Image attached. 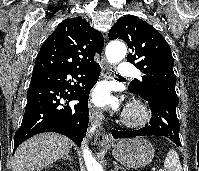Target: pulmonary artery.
Instances as JSON below:
<instances>
[{"mask_svg": "<svg viewBox=\"0 0 199 171\" xmlns=\"http://www.w3.org/2000/svg\"><path fill=\"white\" fill-rule=\"evenodd\" d=\"M118 72L122 76H133L136 73V69L132 64L122 62L118 67Z\"/></svg>", "mask_w": 199, "mask_h": 171, "instance_id": "obj_1", "label": "pulmonary artery"}]
</instances>
